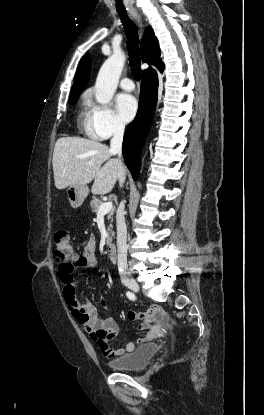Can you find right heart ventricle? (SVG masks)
<instances>
[{
	"mask_svg": "<svg viewBox=\"0 0 264 415\" xmlns=\"http://www.w3.org/2000/svg\"><path fill=\"white\" fill-rule=\"evenodd\" d=\"M78 124L88 137L92 139L100 138L93 128L92 107L87 97L82 98L78 112Z\"/></svg>",
	"mask_w": 264,
	"mask_h": 415,
	"instance_id": "right-heart-ventricle-1",
	"label": "right heart ventricle"
}]
</instances>
